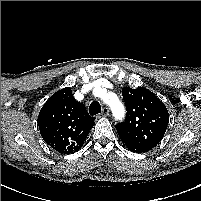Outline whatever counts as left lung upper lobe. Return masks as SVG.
Listing matches in <instances>:
<instances>
[{
    "label": "left lung upper lobe",
    "mask_w": 201,
    "mask_h": 201,
    "mask_svg": "<svg viewBox=\"0 0 201 201\" xmlns=\"http://www.w3.org/2000/svg\"><path fill=\"white\" fill-rule=\"evenodd\" d=\"M127 116L116 126L126 146L149 151L163 138L169 122V113L162 101L144 87L122 89Z\"/></svg>",
    "instance_id": "left-lung-upper-lobe-1"
}]
</instances>
